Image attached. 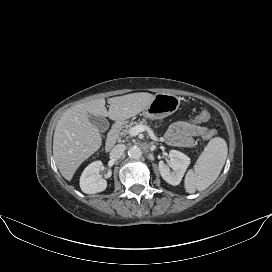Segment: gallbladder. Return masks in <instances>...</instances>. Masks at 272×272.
<instances>
[{"instance_id":"obj_1","label":"gallbladder","mask_w":272,"mask_h":272,"mask_svg":"<svg viewBox=\"0 0 272 272\" xmlns=\"http://www.w3.org/2000/svg\"><path fill=\"white\" fill-rule=\"evenodd\" d=\"M88 119L101 132H104L109 128L108 120L102 116L88 114Z\"/></svg>"}]
</instances>
